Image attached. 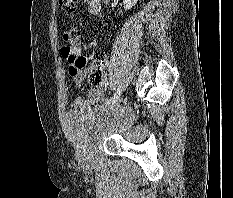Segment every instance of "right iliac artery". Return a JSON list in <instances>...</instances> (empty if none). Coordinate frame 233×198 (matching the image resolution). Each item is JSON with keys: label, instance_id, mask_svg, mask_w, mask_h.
Segmentation results:
<instances>
[{"label": "right iliac artery", "instance_id": "1", "mask_svg": "<svg viewBox=\"0 0 233 198\" xmlns=\"http://www.w3.org/2000/svg\"><path fill=\"white\" fill-rule=\"evenodd\" d=\"M121 90L120 87L117 89L116 93L113 95V97H111L108 101H107V105L109 104H113L114 102H116L120 96Z\"/></svg>", "mask_w": 233, "mask_h": 198}]
</instances>
